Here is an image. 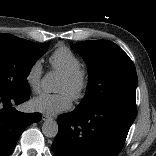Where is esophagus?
Instances as JSON below:
<instances>
[{
  "instance_id": "1",
  "label": "esophagus",
  "mask_w": 156,
  "mask_h": 156,
  "mask_svg": "<svg viewBox=\"0 0 156 156\" xmlns=\"http://www.w3.org/2000/svg\"><path fill=\"white\" fill-rule=\"evenodd\" d=\"M51 119H52V117L49 116V115H47V114H43V115H42V120H43V121H47V120H51Z\"/></svg>"
}]
</instances>
